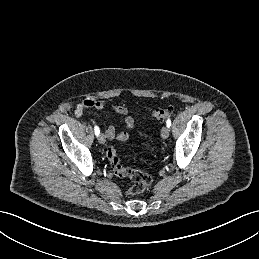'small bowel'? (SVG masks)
I'll list each match as a JSON object with an SVG mask.
<instances>
[{
  "label": "small bowel",
  "instance_id": "obj_1",
  "mask_svg": "<svg viewBox=\"0 0 259 259\" xmlns=\"http://www.w3.org/2000/svg\"><path fill=\"white\" fill-rule=\"evenodd\" d=\"M110 106V103L106 100H93L87 99L80 102L75 109V115L80 117L85 109H105ZM115 112L123 117L124 130L117 131L114 125H109L105 128V136L110 140H117L120 142H125L129 138L128 130L132 129L134 126V119L128 115L127 109L122 105H112Z\"/></svg>",
  "mask_w": 259,
  "mask_h": 259
}]
</instances>
